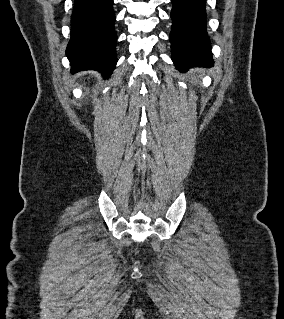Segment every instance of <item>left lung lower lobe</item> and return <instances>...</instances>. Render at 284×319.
Segmentation results:
<instances>
[{
	"label": "left lung lower lobe",
	"instance_id": "1",
	"mask_svg": "<svg viewBox=\"0 0 284 319\" xmlns=\"http://www.w3.org/2000/svg\"><path fill=\"white\" fill-rule=\"evenodd\" d=\"M170 33L172 60L179 71L210 67L213 59L206 33L205 0H171Z\"/></svg>",
	"mask_w": 284,
	"mask_h": 319
}]
</instances>
